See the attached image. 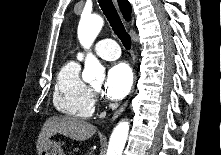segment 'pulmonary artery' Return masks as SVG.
I'll use <instances>...</instances> for the list:
<instances>
[{
  "mask_svg": "<svg viewBox=\"0 0 221 155\" xmlns=\"http://www.w3.org/2000/svg\"><path fill=\"white\" fill-rule=\"evenodd\" d=\"M96 54L105 60H115L120 56V48L118 44L112 39H103L95 46ZM83 53L78 54V58L82 59Z\"/></svg>",
  "mask_w": 221,
  "mask_h": 155,
  "instance_id": "obj_1",
  "label": "pulmonary artery"
}]
</instances>
